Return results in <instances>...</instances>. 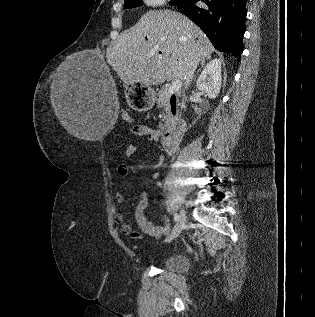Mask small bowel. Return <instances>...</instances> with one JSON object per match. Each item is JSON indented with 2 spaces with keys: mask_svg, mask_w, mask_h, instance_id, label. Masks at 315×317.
Masks as SVG:
<instances>
[{
  "mask_svg": "<svg viewBox=\"0 0 315 317\" xmlns=\"http://www.w3.org/2000/svg\"><path fill=\"white\" fill-rule=\"evenodd\" d=\"M131 132L134 135L148 139L150 141H157L158 133L148 125L144 124H135L131 127ZM137 153V146L135 144H127L124 149V154L127 157H131ZM164 156L161 155L160 162L157 167L162 165ZM116 173L121 177H126L129 175V168L126 165L120 164L116 167ZM115 199L117 202H122L124 196L121 193H116ZM148 204V198L146 194H142L139 198L138 204L135 209V219L141 228L142 232L151 236V237H161L165 235L169 230V225H159L156 226L150 222L145 215V209ZM114 222L119 225L120 231L122 234L127 235L132 239H142L143 236L141 233L133 230L132 225L129 223H124L123 215L120 213L114 214Z\"/></svg>",
  "mask_w": 315,
  "mask_h": 317,
  "instance_id": "c3829d8e",
  "label": "small bowel"
}]
</instances>
